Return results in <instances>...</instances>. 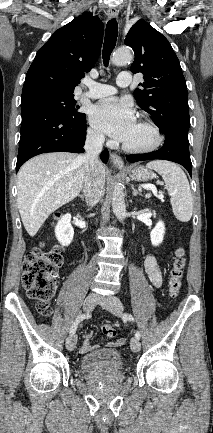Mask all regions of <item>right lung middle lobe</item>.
Listing matches in <instances>:
<instances>
[{
  "label": "right lung middle lobe",
  "mask_w": 213,
  "mask_h": 433,
  "mask_svg": "<svg viewBox=\"0 0 213 433\" xmlns=\"http://www.w3.org/2000/svg\"><path fill=\"white\" fill-rule=\"evenodd\" d=\"M21 103H36L50 107L72 121H80L86 115L78 112L74 95H62L51 92H36L21 96Z\"/></svg>",
  "instance_id": "dd1d6c3e"
}]
</instances>
